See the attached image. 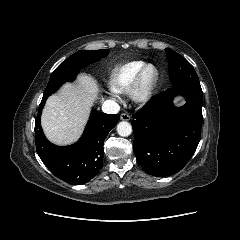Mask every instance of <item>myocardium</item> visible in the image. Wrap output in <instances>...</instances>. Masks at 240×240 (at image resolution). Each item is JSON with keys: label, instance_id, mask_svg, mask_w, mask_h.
<instances>
[{"label": "myocardium", "instance_id": "obj_1", "mask_svg": "<svg viewBox=\"0 0 240 240\" xmlns=\"http://www.w3.org/2000/svg\"><path fill=\"white\" fill-rule=\"evenodd\" d=\"M159 70L153 64H145L130 89V97L138 105H144L152 98L159 82Z\"/></svg>", "mask_w": 240, "mask_h": 240}]
</instances>
